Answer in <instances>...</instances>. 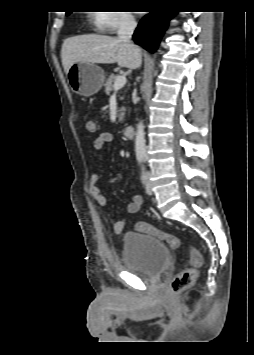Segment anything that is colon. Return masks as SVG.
I'll use <instances>...</instances> for the list:
<instances>
[{"instance_id":"obj_1","label":"colon","mask_w":254,"mask_h":355,"mask_svg":"<svg viewBox=\"0 0 254 355\" xmlns=\"http://www.w3.org/2000/svg\"><path fill=\"white\" fill-rule=\"evenodd\" d=\"M86 131L90 134L97 132V123L93 119H88L85 122ZM135 229L139 233L148 234L164 241L170 248L179 249L185 247L189 252L190 267L175 274L170 282V288L173 292H181L190 288L197 275L199 268L203 265V256L193 246L184 242L180 237L166 232L146 222H136Z\"/></svg>"}]
</instances>
